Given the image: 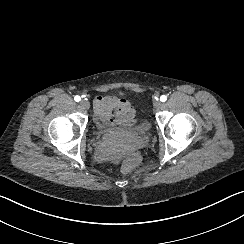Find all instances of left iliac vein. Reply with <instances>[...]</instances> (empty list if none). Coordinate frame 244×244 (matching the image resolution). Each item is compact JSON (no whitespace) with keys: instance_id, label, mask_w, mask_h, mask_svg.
<instances>
[{"instance_id":"4c4485c4","label":"left iliac vein","mask_w":244,"mask_h":244,"mask_svg":"<svg viewBox=\"0 0 244 244\" xmlns=\"http://www.w3.org/2000/svg\"><path fill=\"white\" fill-rule=\"evenodd\" d=\"M153 107L157 110L161 109L163 107V104L160 101H155L153 103Z\"/></svg>"}]
</instances>
